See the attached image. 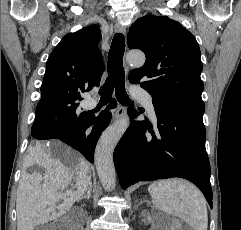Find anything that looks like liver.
Returning a JSON list of instances; mask_svg holds the SVG:
<instances>
[{"label":"liver","instance_id":"obj_1","mask_svg":"<svg viewBox=\"0 0 241 230\" xmlns=\"http://www.w3.org/2000/svg\"><path fill=\"white\" fill-rule=\"evenodd\" d=\"M50 144L63 161L40 144L28 148L16 199L17 230H32L65 214L91 184L89 164L79 153L60 142ZM33 165L42 167L44 173H27ZM69 185L72 189L66 190ZM60 200L62 203L57 206Z\"/></svg>","mask_w":241,"mask_h":230}]
</instances>
